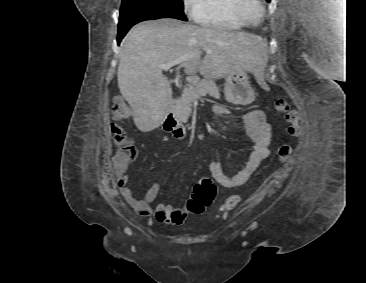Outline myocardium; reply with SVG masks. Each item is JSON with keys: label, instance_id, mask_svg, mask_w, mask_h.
Returning a JSON list of instances; mask_svg holds the SVG:
<instances>
[{"label": "myocardium", "instance_id": "1", "mask_svg": "<svg viewBox=\"0 0 366 283\" xmlns=\"http://www.w3.org/2000/svg\"><path fill=\"white\" fill-rule=\"evenodd\" d=\"M249 3H254L258 7V15L255 21L248 19L246 15V8ZM233 12L237 19L245 26H255L258 24L264 14V5L262 0H233Z\"/></svg>", "mask_w": 366, "mask_h": 283}]
</instances>
